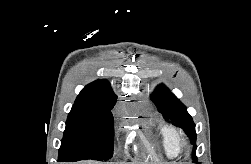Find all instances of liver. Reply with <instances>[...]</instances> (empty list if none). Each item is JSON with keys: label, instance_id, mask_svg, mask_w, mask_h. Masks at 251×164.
I'll list each match as a JSON object with an SVG mask.
<instances>
[{"label": "liver", "instance_id": "liver-1", "mask_svg": "<svg viewBox=\"0 0 251 164\" xmlns=\"http://www.w3.org/2000/svg\"><path fill=\"white\" fill-rule=\"evenodd\" d=\"M75 164H102V163L87 161V162H81V163H75ZM123 164H127V163H123Z\"/></svg>", "mask_w": 251, "mask_h": 164}]
</instances>
